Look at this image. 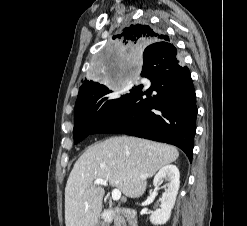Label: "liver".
Here are the masks:
<instances>
[{"instance_id": "6515ba94", "label": "liver", "mask_w": 247, "mask_h": 226, "mask_svg": "<svg viewBox=\"0 0 247 226\" xmlns=\"http://www.w3.org/2000/svg\"><path fill=\"white\" fill-rule=\"evenodd\" d=\"M179 157L170 145L128 136L110 137L90 146L76 161L65 187V225L96 226L105 194L95 179L109 181L125 196L138 198L147 178Z\"/></svg>"}]
</instances>
